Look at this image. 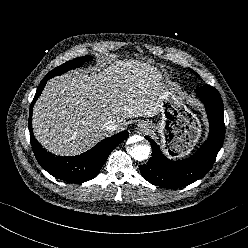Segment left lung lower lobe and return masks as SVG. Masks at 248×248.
<instances>
[{
  "label": "left lung lower lobe",
  "mask_w": 248,
  "mask_h": 248,
  "mask_svg": "<svg viewBox=\"0 0 248 248\" xmlns=\"http://www.w3.org/2000/svg\"><path fill=\"white\" fill-rule=\"evenodd\" d=\"M195 92L207 112L210 124L208 139L191 157L182 161H172L162 154L159 146L152 139L146 137L151 143L153 153L150 160L140 165L139 169L142 176L153 185L180 188L195 182L211 169L222 147L225 125L220 94L211 86L198 87Z\"/></svg>",
  "instance_id": "0a47b994"
}]
</instances>
